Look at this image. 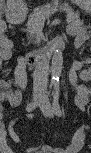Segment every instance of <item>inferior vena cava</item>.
Returning a JSON list of instances; mask_svg holds the SVG:
<instances>
[{
	"instance_id": "inferior-vena-cava-1",
	"label": "inferior vena cava",
	"mask_w": 91,
	"mask_h": 153,
	"mask_svg": "<svg viewBox=\"0 0 91 153\" xmlns=\"http://www.w3.org/2000/svg\"><path fill=\"white\" fill-rule=\"evenodd\" d=\"M37 62L39 63H33V66H35V71L33 73V87L34 92L38 93L41 98H44L45 95L42 94V91L43 88L47 85L49 67L47 63H44V60H39Z\"/></svg>"
}]
</instances>
